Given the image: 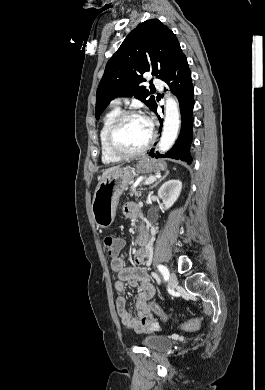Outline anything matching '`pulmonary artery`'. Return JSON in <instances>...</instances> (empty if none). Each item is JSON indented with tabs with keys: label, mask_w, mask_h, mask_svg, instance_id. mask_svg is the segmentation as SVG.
Segmentation results:
<instances>
[{
	"label": "pulmonary artery",
	"mask_w": 265,
	"mask_h": 390,
	"mask_svg": "<svg viewBox=\"0 0 265 390\" xmlns=\"http://www.w3.org/2000/svg\"><path fill=\"white\" fill-rule=\"evenodd\" d=\"M153 83H154L155 87H157L158 89H162L163 88V82L161 80H159L157 78H154L153 79Z\"/></svg>",
	"instance_id": "e3ab8cb5"
}]
</instances>
